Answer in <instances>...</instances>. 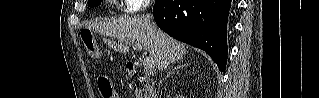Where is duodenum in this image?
<instances>
[{"mask_svg":"<svg viewBox=\"0 0 319 98\" xmlns=\"http://www.w3.org/2000/svg\"><path fill=\"white\" fill-rule=\"evenodd\" d=\"M125 68L129 75L137 76L139 74L138 67L133 62H127ZM151 98H157V96L152 95Z\"/></svg>","mask_w":319,"mask_h":98,"instance_id":"410a0bca","label":"duodenum"}]
</instances>
